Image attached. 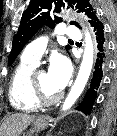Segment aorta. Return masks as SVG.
<instances>
[{
	"mask_svg": "<svg viewBox=\"0 0 117 136\" xmlns=\"http://www.w3.org/2000/svg\"><path fill=\"white\" fill-rule=\"evenodd\" d=\"M93 60H94V44L90 32L86 30L85 48H84L82 62L76 80L63 103L62 106L63 111L68 110L70 107H72L73 104L77 101V99L82 94L87 84V81L89 79V76L91 74Z\"/></svg>",
	"mask_w": 117,
	"mask_h": 136,
	"instance_id": "aorta-1",
	"label": "aorta"
}]
</instances>
